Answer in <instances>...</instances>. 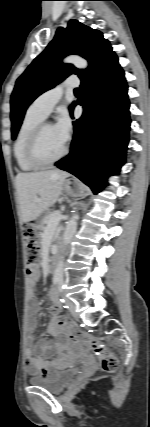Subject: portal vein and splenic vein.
<instances>
[{"instance_id":"18ae733b","label":"portal vein and splenic vein","mask_w":150,"mask_h":427,"mask_svg":"<svg viewBox=\"0 0 150 427\" xmlns=\"http://www.w3.org/2000/svg\"><path fill=\"white\" fill-rule=\"evenodd\" d=\"M35 201L39 202V199L36 198ZM61 218H62V215L60 214L59 211L54 212L51 216V220L49 222V227H53L55 225V223H57ZM63 218H66V216H63Z\"/></svg>"}]
</instances>
